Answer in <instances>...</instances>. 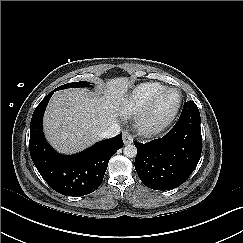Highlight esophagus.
Masks as SVG:
<instances>
[{
	"label": "esophagus",
	"mask_w": 243,
	"mask_h": 243,
	"mask_svg": "<svg viewBox=\"0 0 243 243\" xmlns=\"http://www.w3.org/2000/svg\"><path fill=\"white\" fill-rule=\"evenodd\" d=\"M123 142L125 145L131 144L133 142L132 135L128 132H124L123 133Z\"/></svg>",
	"instance_id": "34e87169"
}]
</instances>
